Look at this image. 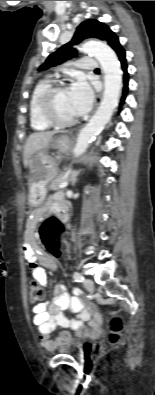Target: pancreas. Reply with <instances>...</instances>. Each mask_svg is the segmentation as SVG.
I'll list each match as a JSON object with an SVG mask.
<instances>
[{
    "label": "pancreas",
    "instance_id": "cf45deb5",
    "mask_svg": "<svg viewBox=\"0 0 155 395\" xmlns=\"http://www.w3.org/2000/svg\"><path fill=\"white\" fill-rule=\"evenodd\" d=\"M65 180L64 174H58L49 182V189L50 190H58L59 184Z\"/></svg>",
    "mask_w": 155,
    "mask_h": 395
}]
</instances>
